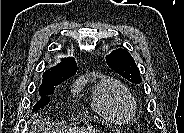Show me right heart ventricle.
I'll list each match as a JSON object with an SVG mask.
<instances>
[{
  "instance_id": "obj_1",
  "label": "right heart ventricle",
  "mask_w": 184,
  "mask_h": 133,
  "mask_svg": "<svg viewBox=\"0 0 184 133\" xmlns=\"http://www.w3.org/2000/svg\"><path fill=\"white\" fill-rule=\"evenodd\" d=\"M92 105L98 114L114 122L128 120L135 109L128 89L117 80L107 77L101 78L96 84Z\"/></svg>"
}]
</instances>
